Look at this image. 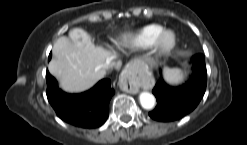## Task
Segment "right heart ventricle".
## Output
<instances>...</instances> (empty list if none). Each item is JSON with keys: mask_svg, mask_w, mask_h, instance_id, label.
Instances as JSON below:
<instances>
[{"mask_svg": "<svg viewBox=\"0 0 247 145\" xmlns=\"http://www.w3.org/2000/svg\"><path fill=\"white\" fill-rule=\"evenodd\" d=\"M163 29L160 24L152 23L145 25L122 39V45L131 50L145 49L152 45L156 35Z\"/></svg>", "mask_w": 247, "mask_h": 145, "instance_id": "right-heart-ventricle-1", "label": "right heart ventricle"}]
</instances>
